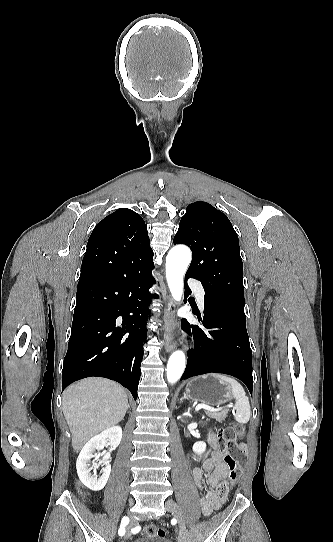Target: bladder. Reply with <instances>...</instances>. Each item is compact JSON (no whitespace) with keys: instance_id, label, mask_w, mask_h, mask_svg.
I'll list each match as a JSON object with an SVG mask.
<instances>
[{"instance_id":"1","label":"bladder","mask_w":333,"mask_h":542,"mask_svg":"<svg viewBox=\"0 0 333 542\" xmlns=\"http://www.w3.org/2000/svg\"><path fill=\"white\" fill-rule=\"evenodd\" d=\"M133 542H172L169 538L163 535H147Z\"/></svg>"}]
</instances>
